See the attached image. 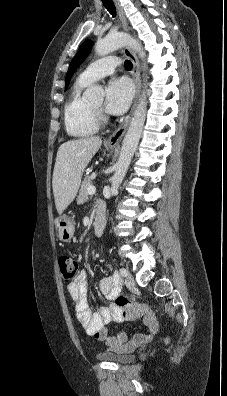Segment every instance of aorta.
<instances>
[{
	"instance_id": "1",
	"label": "aorta",
	"mask_w": 227,
	"mask_h": 396,
	"mask_svg": "<svg viewBox=\"0 0 227 396\" xmlns=\"http://www.w3.org/2000/svg\"><path fill=\"white\" fill-rule=\"evenodd\" d=\"M129 46L136 51L139 57L143 60L146 56L143 48L138 40L134 39L130 35L122 32L110 33L105 38L98 40L95 45V52L99 56H105L109 53L123 47ZM85 95L89 99L101 101L103 94L99 87L93 86L86 90ZM147 110V96L143 91L139 103L134 111L133 118L130 122L127 133L123 139L120 155L116 164L115 173L111 179V194H116L118 188L122 183L137 144L142 134L143 126L146 118Z\"/></svg>"
}]
</instances>
